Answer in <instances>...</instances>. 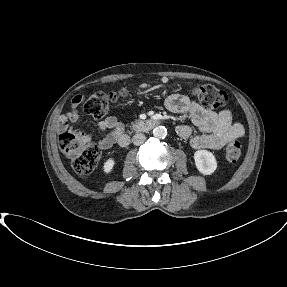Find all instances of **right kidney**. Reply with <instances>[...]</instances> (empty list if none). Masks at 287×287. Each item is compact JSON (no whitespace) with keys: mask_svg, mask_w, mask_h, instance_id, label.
Here are the masks:
<instances>
[{"mask_svg":"<svg viewBox=\"0 0 287 287\" xmlns=\"http://www.w3.org/2000/svg\"><path fill=\"white\" fill-rule=\"evenodd\" d=\"M114 165H115L114 159L113 158H109L108 160H106L104 162L103 171L106 174L110 173L113 170Z\"/></svg>","mask_w":287,"mask_h":287,"instance_id":"ca27d5eb","label":"right kidney"}]
</instances>
